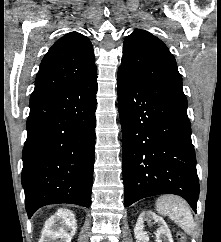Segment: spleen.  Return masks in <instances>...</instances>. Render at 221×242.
I'll list each match as a JSON object with an SVG mask.
<instances>
[{
	"label": "spleen",
	"mask_w": 221,
	"mask_h": 242,
	"mask_svg": "<svg viewBox=\"0 0 221 242\" xmlns=\"http://www.w3.org/2000/svg\"><path fill=\"white\" fill-rule=\"evenodd\" d=\"M156 211L169 217L186 234H193L195 229L193 215L184 199L174 195H163L156 201Z\"/></svg>",
	"instance_id": "1"
}]
</instances>
